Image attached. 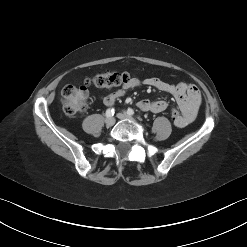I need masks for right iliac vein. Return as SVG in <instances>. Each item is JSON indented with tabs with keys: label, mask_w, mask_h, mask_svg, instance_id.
<instances>
[{
	"label": "right iliac vein",
	"mask_w": 247,
	"mask_h": 247,
	"mask_svg": "<svg viewBox=\"0 0 247 247\" xmlns=\"http://www.w3.org/2000/svg\"><path fill=\"white\" fill-rule=\"evenodd\" d=\"M105 123L107 126L111 127L115 124V118L114 117H108V118H106Z\"/></svg>",
	"instance_id": "63e3f726"
}]
</instances>
